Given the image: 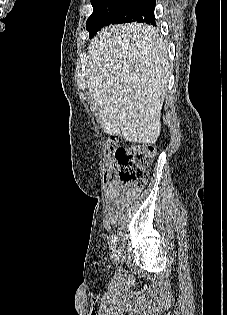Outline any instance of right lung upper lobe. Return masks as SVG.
<instances>
[{
    "instance_id": "obj_1",
    "label": "right lung upper lobe",
    "mask_w": 227,
    "mask_h": 315,
    "mask_svg": "<svg viewBox=\"0 0 227 315\" xmlns=\"http://www.w3.org/2000/svg\"><path fill=\"white\" fill-rule=\"evenodd\" d=\"M93 1H98V0H91V2H93Z\"/></svg>"
}]
</instances>
